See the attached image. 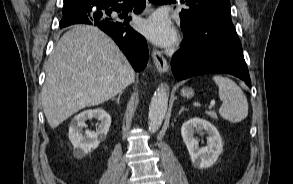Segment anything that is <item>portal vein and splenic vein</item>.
I'll return each mask as SVG.
<instances>
[{
    "instance_id": "1",
    "label": "portal vein and splenic vein",
    "mask_w": 293,
    "mask_h": 184,
    "mask_svg": "<svg viewBox=\"0 0 293 184\" xmlns=\"http://www.w3.org/2000/svg\"><path fill=\"white\" fill-rule=\"evenodd\" d=\"M215 105V101L214 100H212L211 101V103H210V106H209V108L211 109L213 106Z\"/></svg>"
}]
</instances>
